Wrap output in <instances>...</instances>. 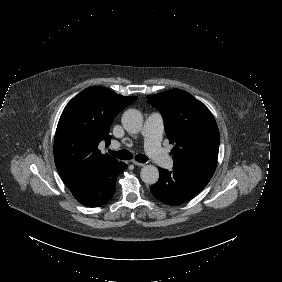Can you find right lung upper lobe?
I'll return each mask as SVG.
<instances>
[{
  "label": "right lung upper lobe",
  "instance_id": "1",
  "mask_svg": "<svg viewBox=\"0 0 282 282\" xmlns=\"http://www.w3.org/2000/svg\"><path fill=\"white\" fill-rule=\"evenodd\" d=\"M137 97H125L99 86L86 88L65 107L54 139L56 168L71 187L86 174L118 162L98 150L101 141L110 143L114 117Z\"/></svg>",
  "mask_w": 282,
  "mask_h": 282
}]
</instances>
